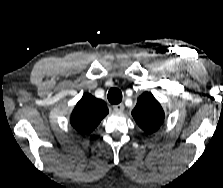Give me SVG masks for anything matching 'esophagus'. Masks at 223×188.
Returning <instances> with one entry per match:
<instances>
[{
    "instance_id": "esophagus-1",
    "label": "esophagus",
    "mask_w": 223,
    "mask_h": 188,
    "mask_svg": "<svg viewBox=\"0 0 223 188\" xmlns=\"http://www.w3.org/2000/svg\"><path fill=\"white\" fill-rule=\"evenodd\" d=\"M113 110L115 112H122L124 110V104L120 103V104L114 105Z\"/></svg>"
}]
</instances>
